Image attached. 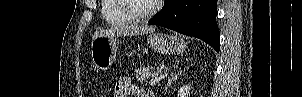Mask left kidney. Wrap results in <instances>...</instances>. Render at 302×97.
Instances as JSON below:
<instances>
[{
  "label": "left kidney",
  "mask_w": 302,
  "mask_h": 97,
  "mask_svg": "<svg viewBox=\"0 0 302 97\" xmlns=\"http://www.w3.org/2000/svg\"><path fill=\"white\" fill-rule=\"evenodd\" d=\"M191 85H184L178 90V97H188L190 96Z\"/></svg>",
  "instance_id": "obj_1"
}]
</instances>
